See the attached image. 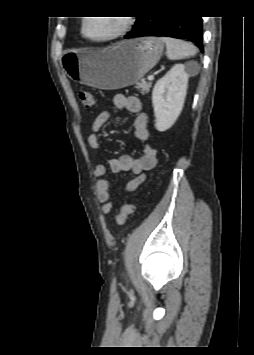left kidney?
I'll use <instances>...</instances> for the list:
<instances>
[{
  "mask_svg": "<svg viewBox=\"0 0 254 355\" xmlns=\"http://www.w3.org/2000/svg\"><path fill=\"white\" fill-rule=\"evenodd\" d=\"M188 73L183 64H175L161 79L152 92L155 128L166 131L180 115L186 97Z\"/></svg>",
  "mask_w": 254,
  "mask_h": 355,
  "instance_id": "1",
  "label": "left kidney"
}]
</instances>
